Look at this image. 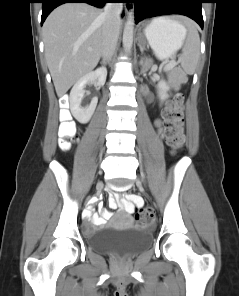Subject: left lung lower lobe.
I'll list each match as a JSON object with an SVG mask.
<instances>
[{
    "label": "left lung lower lobe",
    "mask_w": 239,
    "mask_h": 296,
    "mask_svg": "<svg viewBox=\"0 0 239 296\" xmlns=\"http://www.w3.org/2000/svg\"><path fill=\"white\" fill-rule=\"evenodd\" d=\"M136 23L144 18L180 14L190 17L203 29L201 3L204 0H135Z\"/></svg>",
    "instance_id": "1"
}]
</instances>
